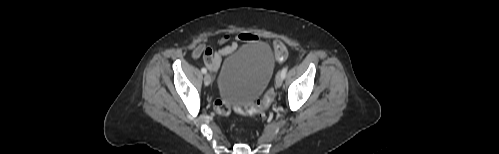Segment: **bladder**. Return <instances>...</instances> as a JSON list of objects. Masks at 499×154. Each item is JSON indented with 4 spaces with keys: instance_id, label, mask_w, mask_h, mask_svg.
Listing matches in <instances>:
<instances>
[{
    "instance_id": "obj_1",
    "label": "bladder",
    "mask_w": 499,
    "mask_h": 154,
    "mask_svg": "<svg viewBox=\"0 0 499 154\" xmlns=\"http://www.w3.org/2000/svg\"><path fill=\"white\" fill-rule=\"evenodd\" d=\"M274 66V54L267 42H253L235 50L220 67L221 99L229 105L253 103L269 85Z\"/></svg>"
}]
</instances>
